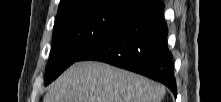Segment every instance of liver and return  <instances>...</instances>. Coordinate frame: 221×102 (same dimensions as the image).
Wrapping results in <instances>:
<instances>
[{"label":"liver","mask_w":221,"mask_h":102,"mask_svg":"<svg viewBox=\"0 0 221 102\" xmlns=\"http://www.w3.org/2000/svg\"><path fill=\"white\" fill-rule=\"evenodd\" d=\"M165 88L102 62H79L51 84L43 102H161Z\"/></svg>","instance_id":"1"}]
</instances>
